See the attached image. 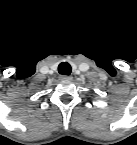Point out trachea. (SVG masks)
Returning <instances> with one entry per match:
<instances>
[{
	"mask_svg": "<svg viewBox=\"0 0 137 145\" xmlns=\"http://www.w3.org/2000/svg\"><path fill=\"white\" fill-rule=\"evenodd\" d=\"M72 71L71 65L67 62H62L58 66V72L62 75H70Z\"/></svg>",
	"mask_w": 137,
	"mask_h": 145,
	"instance_id": "1",
	"label": "trachea"
}]
</instances>
